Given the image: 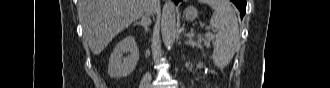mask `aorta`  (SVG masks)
Masks as SVG:
<instances>
[{"instance_id":"obj_1","label":"aorta","mask_w":330,"mask_h":88,"mask_svg":"<svg viewBox=\"0 0 330 88\" xmlns=\"http://www.w3.org/2000/svg\"><path fill=\"white\" fill-rule=\"evenodd\" d=\"M161 34L164 45L170 50L176 38L175 5L171 0H167L162 9Z\"/></svg>"}]
</instances>
